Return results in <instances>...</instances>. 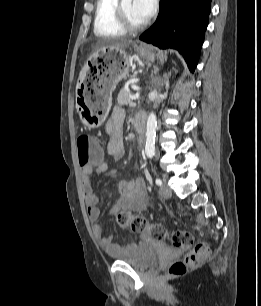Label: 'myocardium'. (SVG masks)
Returning <instances> with one entry per match:
<instances>
[{
  "instance_id": "1",
  "label": "myocardium",
  "mask_w": 261,
  "mask_h": 306,
  "mask_svg": "<svg viewBox=\"0 0 261 306\" xmlns=\"http://www.w3.org/2000/svg\"><path fill=\"white\" fill-rule=\"evenodd\" d=\"M116 11H117V16L119 19V23L121 26L126 30V32H137L142 30L146 26V21L140 23V24H135L131 22V20L128 18L126 15L123 6H122V1L118 2L116 6Z\"/></svg>"
}]
</instances>
